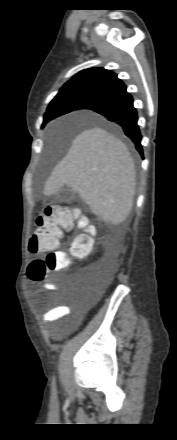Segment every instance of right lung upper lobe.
Wrapping results in <instances>:
<instances>
[{
	"mask_svg": "<svg viewBox=\"0 0 177 440\" xmlns=\"http://www.w3.org/2000/svg\"><path fill=\"white\" fill-rule=\"evenodd\" d=\"M125 88L123 82L112 71L103 68H90L73 76L58 94L76 92L92 97L96 101ZM47 120H49V116L44 115V121Z\"/></svg>",
	"mask_w": 177,
	"mask_h": 440,
	"instance_id": "cb5924a9",
	"label": "right lung upper lobe"
}]
</instances>
